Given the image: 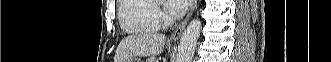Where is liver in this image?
<instances>
[{
	"instance_id": "liver-1",
	"label": "liver",
	"mask_w": 331,
	"mask_h": 62,
	"mask_svg": "<svg viewBox=\"0 0 331 62\" xmlns=\"http://www.w3.org/2000/svg\"><path fill=\"white\" fill-rule=\"evenodd\" d=\"M163 34L145 32L124 38L118 45L114 62H129L135 57L159 55L165 46Z\"/></svg>"
}]
</instances>
